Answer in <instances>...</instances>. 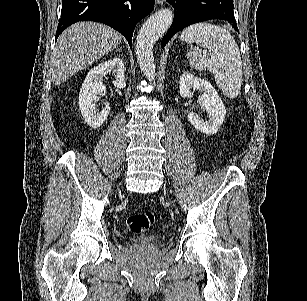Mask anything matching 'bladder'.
Returning <instances> with one entry per match:
<instances>
[{
  "mask_svg": "<svg viewBox=\"0 0 307 301\" xmlns=\"http://www.w3.org/2000/svg\"><path fill=\"white\" fill-rule=\"evenodd\" d=\"M162 240V235L160 233L151 234L144 238H131L130 241L138 242H160Z\"/></svg>",
  "mask_w": 307,
  "mask_h": 301,
  "instance_id": "bladder-1",
  "label": "bladder"
}]
</instances>
